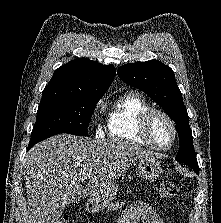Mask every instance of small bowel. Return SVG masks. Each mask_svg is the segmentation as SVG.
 <instances>
[{
    "label": "small bowel",
    "mask_w": 221,
    "mask_h": 223,
    "mask_svg": "<svg viewBox=\"0 0 221 223\" xmlns=\"http://www.w3.org/2000/svg\"><path fill=\"white\" fill-rule=\"evenodd\" d=\"M118 223H167L156 210L145 202H136L126 208Z\"/></svg>",
    "instance_id": "c3829d8e"
}]
</instances>
